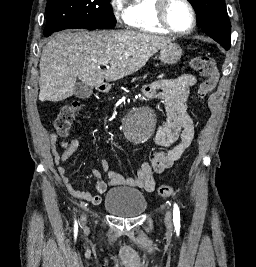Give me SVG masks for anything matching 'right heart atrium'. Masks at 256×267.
I'll return each instance as SVG.
<instances>
[{
	"mask_svg": "<svg viewBox=\"0 0 256 267\" xmlns=\"http://www.w3.org/2000/svg\"><path fill=\"white\" fill-rule=\"evenodd\" d=\"M116 22H121V27L122 26H131L132 25V15L131 12L128 10L124 13H116Z\"/></svg>",
	"mask_w": 256,
	"mask_h": 267,
	"instance_id": "right-heart-atrium-1",
	"label": "right heart atrium"
}]
</instances>
